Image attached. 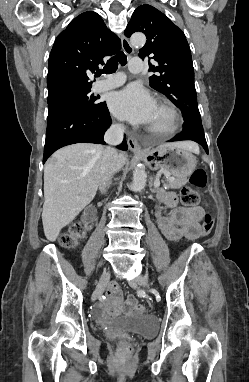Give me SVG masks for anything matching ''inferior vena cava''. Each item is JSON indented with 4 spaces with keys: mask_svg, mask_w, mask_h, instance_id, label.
<instances>
[{
    "mask_svg": "<svg viewBox=\"0 0 249 382\" xmlns=\"http://www.w3.org/2000/svg\"><path fill=\"white\" fill-rule=\"evenodd\" d=\"M124 126L122 124H114L106 131L104 141L108 144L104 151V164L101 168V177L99 181V189L101 193L106 192L111 179L115 172L120 169L117 162L118 152L114 147L120 144L123 140Z\"/></svg>",
    "mask_w": 249,
    "mask_h": 382,
    "instance_id": "602c4592",
    "label": "inferior vena cava"
}]
</instances>
